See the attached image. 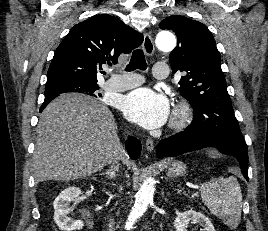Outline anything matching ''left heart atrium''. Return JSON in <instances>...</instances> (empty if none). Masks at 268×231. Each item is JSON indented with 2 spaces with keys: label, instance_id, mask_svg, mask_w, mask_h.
I'll use <instances>...</instances> for the list:
<instances>
[{
  "label": "left heart atrium",
  "instance_id": "obj_1",
  "mask_svg": "<svg viewBox=\"0 0 268 231\" xmlns=\"http://www.w3.org/2000/svg\"><path fill=\"white\" fill-rule=\"evenodd\" d=\"M122 110L128 120L148 129L162 126L170 113L167 98L150 88L136 89L127 94Z\"/></svg>",
  "mask_w": 268,
  "mask_h": 231
}]
</instances>
